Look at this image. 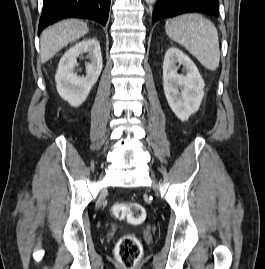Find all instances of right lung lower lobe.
Instances as JSON below:
<instances>
[{"instance_id": "obj_1", "label": "right lung lower lobe", "mask_w": 265, "mask_h": 269, "mask_svg": "<svg viewBox=\"0 0 265 269\" xmlns=\"http://www.w3.org/2000/svg\"><path fill=\"white\" fill-rule=\"evenodd\" d=\"M109 8L110 0H43L38 34L48 25L68 17L91 19L105 25Z\"/></svg>"}]
</instances>
